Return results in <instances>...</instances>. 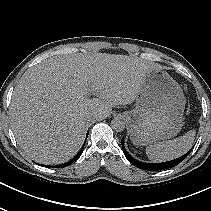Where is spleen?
I'll return each mask as SVG.
<instances>
[{"instance_id":"3e777b00","label":"spleen","mask_w":211,"mask_h":211,"mask_svg":"<svg viewBox=\"0 0 211 211\" xmlns=\"http://www.w3.org/2000/svg\"><path fill=\"white\" fill-rule=\"evenodd\" d=\"M195 134V130H190L176 139L149 145L146 147V154L153 162H163L178 158L192 147Z\"/></svg>"}]
</instances>
